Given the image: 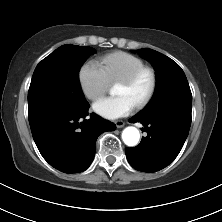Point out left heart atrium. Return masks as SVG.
I'll use <instances>...</instances> for the list:
<instances>
[{
	"instance_id": "39dd6f15",
	"label": "left heart atrium",
	"mask_w": 222,
	"mask_h": 222,
	"mask_svg": "<svg viewBox=\"0 0 222 222\" xmlns=\"http://www.w3.org/2000/svg\"><path fill=\"white\" fill-rule=\"evenodd\" d=\"M136 105L126 95L103 97L93 104V110L107 119L122 118L133 112Z\"/></svg>"
}]
</instances>
